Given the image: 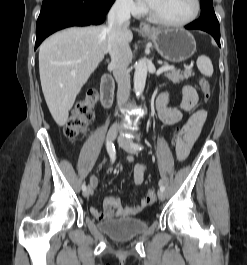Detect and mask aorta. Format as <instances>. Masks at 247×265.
Here are the masks:
<instances>
[{"label": "aorta", "instance_id": "obj_1", "mask_svg": "<svg viewBox=\"0 0 247 265\" xmlns=\"http://www.w3.org/2000/svg\"><path fill=\"white\" fill-rule=\"evenodd\" d=\"M147 78V65L144 59L138 61L135 66V73H134V91L136 96H140L145 88Z\"/></svg>", "mask_w": 247, "mask_h": 265}]
</instances>
